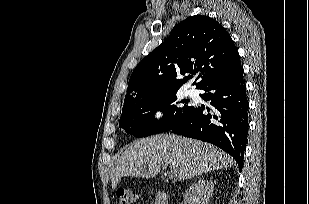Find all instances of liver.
Listing matches in <instances>:
<instances>
[{
  "mask_svg": "<svg viewBox=\"0 0 309 204\" xmlns=\"http://www.w3.org/2000/svg\"><path fill=\"white\" fill-rule=\"evenodd\" d=\"M224 151L206 142L174 135H155L134 141L111 171L112 188L122 177L153 178L160 166L170 167L180 180L233 165Z\"/></svg>",
  "mask_w": 309,
  "mask_h": 204,
  "instance_id": "1",
  "label": "liver"
}]
</instances>
